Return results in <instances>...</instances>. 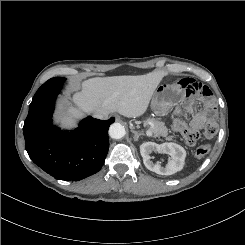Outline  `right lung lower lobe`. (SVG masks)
I'll return each mask as SVG.
<instances>
[{
	"label": "right lung lower lobe",
	"mask_w": 245,
	"mask_h": 245,
	"mask_svg": "<svg viewBox=\"0 0 245 245\" xmlns=\"http://www.w3.org/2000/svg\"><path fill=\"white\" fill-rule=\"evenodd\" d=\"M66 79L52 78L34 95L23 132L31 160L55 179L78 181L98 172L108 149V129L114 118L87 117L73 131L52 125L54 101Z\"/></svg>",
	"instance_id": "obj_1"
}]
</instances>
